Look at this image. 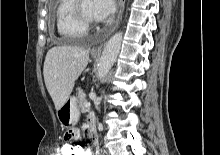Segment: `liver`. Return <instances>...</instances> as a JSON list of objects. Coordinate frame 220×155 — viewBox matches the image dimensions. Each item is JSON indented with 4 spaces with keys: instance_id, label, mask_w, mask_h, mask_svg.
Listing matches in <instances>:
<instances>
[{
    "instance_id": "obj_1",
    "label": "liver",
    "mask_w": 220,
    "mask_h": 155,
    "mask_svg": "<svg viewBox=\"0 0 220 155\" xmlns=\"http://www.w3.org/2000/svg\"><path fill=\"white\" fill-rule=\"evenodd\" d=\"M88 61L89 51L80 47L55 46L47 52L44 81L57 111L69 98Z\"/></svg>"
}]
</instances>
